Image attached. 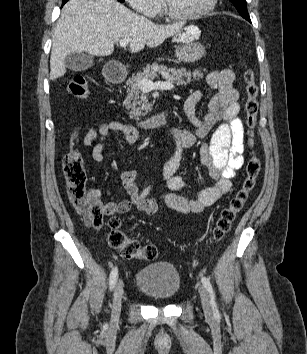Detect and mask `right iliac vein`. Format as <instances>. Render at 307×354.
<instances>
[{"label":"right iliac vein","mask_w":307,"mask_h":354,"mask_svg":"<svg viewBox=\"0 0 307 354\" xmlns=\"http://www.w3.org/2000/svg\"><path fill=\"white\" fill-rule=\"evenodd\" d=\"M123 296V283L118 281L115 290H114V298L112 304V318L113 320H117L121 311V302Z\"/></svg>","instance_id":"obj_1"}]
</instances>
